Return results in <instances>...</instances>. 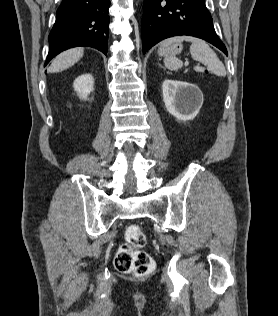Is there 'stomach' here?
<instances>
[{"mask_svg": "<svg viewBox=\"0 0 278 316\" xmlns=\"http://www.w3.org/2000/svg\"><path fill=\"white\" fill-rule=\"evenodd\" d=\"M182 50V46L179 43H175L171 46L168 47H161L158 51L160 56H166V57H170V56H174L176 54H179Z\"/></svg>", "mask_w": 278, "mask_h": 316, "instance_id": "1", "label": "stomach"}]
</instances>
